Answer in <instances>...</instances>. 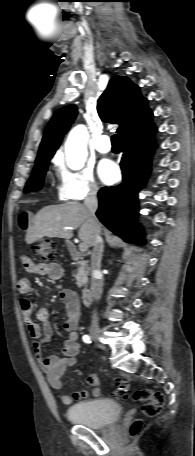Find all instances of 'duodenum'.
I'll return each mask as SVG.
<instances>
[{
    "instance_id": "duodenum-1",
    "label": "duodenum",
    "mask_w": 195,
    "mask_h": 456,
    "mask_svg": "<svg viewBox=\"0 0 195 456\" xmlns=\"http://www.w3.org/2000/svg\"><path fill=\"white\" fill-rule=\"evenodd\" d=\"M67 249L70 253V255L73 257V258H78L79 257V253L77 251V249L75 248V246L73 245V243L71 242H68L67 243ZM91 300H92V293H91V290L87 287L83 288L82 290V301L85 305H89L91 303Z\"/></svg>"
}]
</instances>
